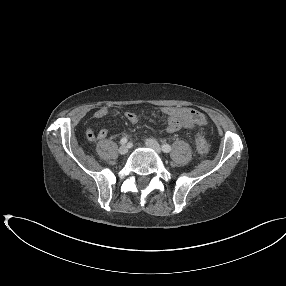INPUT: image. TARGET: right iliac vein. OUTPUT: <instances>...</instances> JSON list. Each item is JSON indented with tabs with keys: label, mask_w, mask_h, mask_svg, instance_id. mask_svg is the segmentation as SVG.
<instances>
[{
	"label": "right iliac vein",
	"mask_w": 286,
	"mask_h": 286,
	"mask_svg": "<svg viewBox=\"0 0 286 286\" xmlns=\"http://www.w3.org/2000/svg\"><path fill=\"white\" fill-rule=\"evenodd\" d=\"M119 153L121 155H125L128 153V147L126 145H122L120 148H119Z\"/></svg>",
	"instance_id": "63e3f726"
}]
</instances>
